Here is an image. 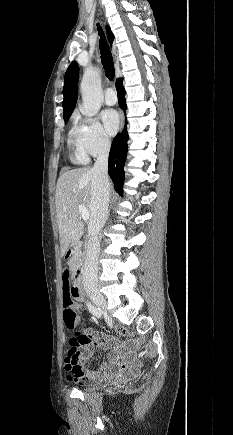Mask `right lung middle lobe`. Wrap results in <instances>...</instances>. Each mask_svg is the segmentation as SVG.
<instances>
[{
    "instance_id": "dd1d6c3e",
    "label": "right lung middle lobe",
    "mask_w": 233,
    "mask_h": 435,
    "mask_svg": "<svg viewBox=\"0 0 233 435\" xmlns=\"http://www.w3.org/2000/svg\"><path fill=\"white\" fill-rule=\"evenodd\" d=\"M69 117H70V116H64V121H65V124L67 123V121H68Z\"/></svg>"
}]
</instances>
